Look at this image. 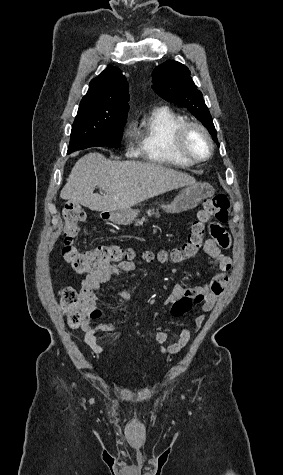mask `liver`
I'll return each mask as SVG.
<instances>
[{
  "mask_svg": "<svg viewBox=\"0 0 283 475\" xmlns=\"http://www.w3.org/2000/svg\"><path fill=\"white\" fill-rule=\"evenodd\" d=\"M193 184L192 176L161 164L111 162L102 154H87L73 166L60 198L95 212H117ZM95 186L104 194H93Z\"/></svg>",
  "mask_w": 283,
  "mask_h": 475,
  "instance_id": "1",
  "label": "liver"
}]
</instances>
